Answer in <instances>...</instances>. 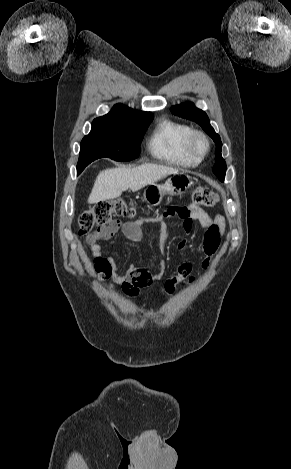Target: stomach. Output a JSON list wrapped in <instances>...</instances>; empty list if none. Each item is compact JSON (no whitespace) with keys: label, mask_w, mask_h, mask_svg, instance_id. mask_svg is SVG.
<instances>
[{"label":"stomach","mask_w":291,"mask_h":469,"mask_svg":"<svg viewBox=\"0 0 291 469\" xmlns=\"http://www.w3.org/2000/svg\"><path fill=\"white\" fill-rule=\"evenodd\" d=\"M193 184L186 172L172 174L164 184H150L144 191V201L152 206L159 205L164 195H180Z\"/></svg>","instance_id":"stomach-1"}]
</instances>
